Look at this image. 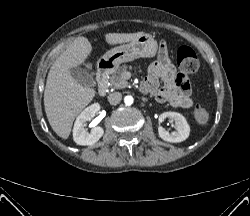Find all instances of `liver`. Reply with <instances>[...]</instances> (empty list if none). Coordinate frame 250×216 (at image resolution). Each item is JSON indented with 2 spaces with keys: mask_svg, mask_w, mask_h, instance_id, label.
I'll return each instance as SVG.
<instances>
[{
  "mask_svg": "<svg viewBox=\"0 0 250 216\" xmlns=\"http://www.w3.org/2000/svg\"><path fill=\"white\" fill-rule=\"evenodd\" d=\"M144 32L108 33L109 45L131 42ZM92 52L87 38H76L55 60L48 73L44 91V107L50 126L62 139L70 135L76 116L93 100L96 91L78 83L71 74L73 68L84 65Z\"/></svg>",
  "mask_w": 250,
  "mask_h": 216,
  "instance_id": "liver-1",
  "label": "liver"
}]
</instances>
